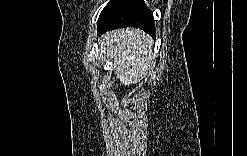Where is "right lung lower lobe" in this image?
Instances as JSON below:
<instances>
[{
    "instance_id": "right-lung-lower-lobe-1",
    "label": "right lung lower lobe",
    "mask_w": 247,
    "mask_h": 156,
    "mask_svg": "<svg viewBox=\"0 0 247 156\" xmlns=\"http://www.w3.org/2000/svg\"><path fill=\"white\" fill-rule=\"evenodd\" d=\"M98 34L123 27L141 28L155 38L152 11L143 0H113L98 19Z\"/></svg>"
}]
</instances>
